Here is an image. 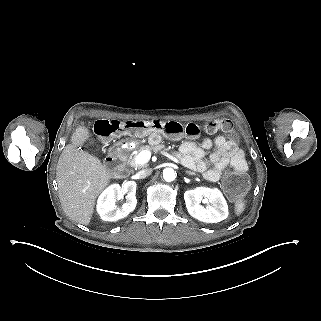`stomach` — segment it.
Masks as SVG:
<instances>
[{
  "label": "stomach",
  "mask_w": 321,
  "mask_h": 321,
  "mask_svg": "<svg viewBox=\"0 0 321 321\" xmlns=\"http://www.w3.org/2000/svg\"><path fill=\"white\" fill-rule=\"evenodd\" d=\"M124 142H129L128 140H122V141H119L117 142L114 146L117 147V146H120L121 144H123Z\"/></svg>",
  "instance_id": "0dacf381"
}]
</instances>
